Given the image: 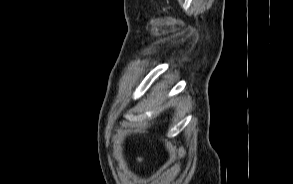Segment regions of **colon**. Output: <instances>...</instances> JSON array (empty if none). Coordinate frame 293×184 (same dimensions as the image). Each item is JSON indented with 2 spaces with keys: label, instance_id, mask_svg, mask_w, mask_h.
Instances as JSON below:
<instances>
[{
  "label": "colon",
  "instance_id": "obj_1",
  "mask_svg": "<svg viewBox=\"0 0 293 184\" xmlns=\"http://www.w3.org/2000/svg\"><path fill=\"white\" fill-rule=\"evenodd\" d=\"M144 157H138L137 159H136V164L137 163H141V162H143L144 161Z\"/></svg>",
  "mask_w": 293,
  "mask_h": 184
}]
</instances>
